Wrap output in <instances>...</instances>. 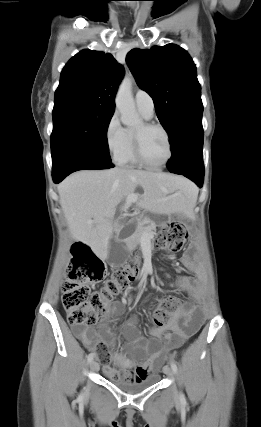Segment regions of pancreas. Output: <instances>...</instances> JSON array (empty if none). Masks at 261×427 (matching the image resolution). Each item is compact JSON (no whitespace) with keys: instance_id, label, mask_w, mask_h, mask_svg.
<instances>
[{"instance_id":"obj_1","label":"pancreas","mask_w":261,"mask_h":427,"mask_svg":"<svg viewBox=\"0 0 261 427\" xmlns=\"http://www.w3.org/2000/svg\"><path fill=\"white\" fill-rule=\"evenodd\" d=\"M149 223H150V221H149V219L148 218H144L142 221H140L139 223H138V226H137V229H136V232H135V235H134V237H135V239L137 240V241H139L140 240V238H141V236L145 233V231H147V230H149V233L150 234H153V232H152V230H154L155 229V224H150L149 225Z\"/></svg>"}]
</instances>
